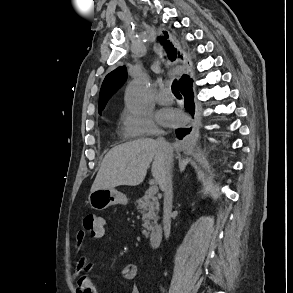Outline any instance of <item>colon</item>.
<instances>
[{
	"mask_svg": "<svg viewBox=\"0 0 293 293\" xmlns=\"http://www.w3.org/2000/svg\"><path fill=\"white\" fill-rule=\"evenodd\" d=\"M83 226L92 234L100 233L104 228V219L94 213H87L83 217Z\"/></svg>",
	"mask_w": 293,
	"mask_h": 293,
	"instance_id": "1",
	"label": "colon"
}]
</instances>
